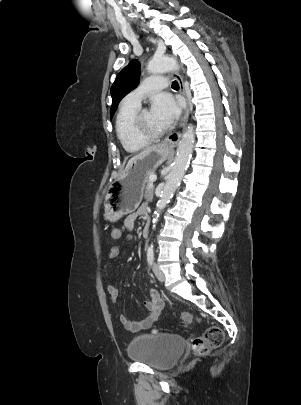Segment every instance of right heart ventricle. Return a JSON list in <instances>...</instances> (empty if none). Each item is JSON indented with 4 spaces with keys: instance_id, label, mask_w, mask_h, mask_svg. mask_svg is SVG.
Wrapping results in <instances>:
<instances>
[{
    "instance_id": "right-heart-ventricle-1",
    "label": "right heart ventricle",
    "mask_w": 301,
    "mask_h": 405,
    "mask_svg": "<svg viewBox=\"0 0 301 405\" xmlns=\"http://www.w3.org/2000/svg\"><path fill=\"white\" fill-rule=\"evenodd\" d=\"M139 109L122 103L115 119L117 137L128 153H136L148 145V141L136 137L132 131V118Z\"/></svg>"
}]
</instances>
